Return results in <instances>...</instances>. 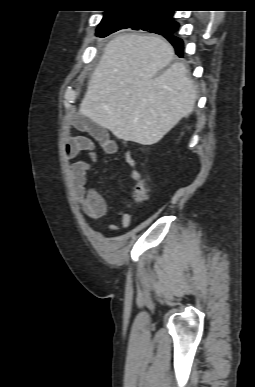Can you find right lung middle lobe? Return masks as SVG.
<instances>
[{"label":"right lung middle lobe","mask_w":255,"mask_h":387,"mask_svg":"<svg viewBox=\"0 0 255 387\" xmlns=\"http://www.w3.org/2000/svg\"><path fill=\"white\" fill-rule=\"evenodd\" d=\"M172 11L157 10L154 12L132 11L106 13L97 28L96 35L105 37L120 29L132 28L162 34L165 31H176L178 23L172 20Z\"/></svg>","instance_id":"obj_1"}]
</instances>
